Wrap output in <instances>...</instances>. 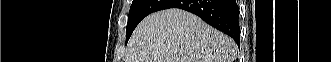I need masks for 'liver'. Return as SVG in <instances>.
Masks as SVG:
<instances>
[{"label": "liver", "mask_w": 331, "mask_h": 62, "mask_svg": "<svg viewBox=\"0 0 331 62\" xmlns=\"http://www.w3.org/2000/svg\"><path fill=\"white\" fill-rule=\"evenodd\" d=\"M236 43L199 17L172 8L144 18L128 43L126 62H233Z\"/></svg>", "instance_id": "obj_1"}]
</instances>
